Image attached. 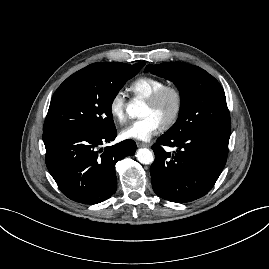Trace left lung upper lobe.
Returning a JSON list of instances; mask_svg holds the SVG:
<instances>
[{
	"label": "left lung upper lobe",
	"mask_w": 269,
	"mask_h": 269,
	"mask_svg": "<svg viewBox=\"0 0 269 269\" xmlns=\"http://www.w3.org/2000/svg\"><path fill=\"white\" fill-rule=\"evenodd\" d=\"M144 71L171 80L180 91L179 117L165 135L181 136L197 129H231L224 90L208 72L182 62L149 64Z\"/></svg>",
	"instance_id": "5c2ea615"
}]
</instances>
